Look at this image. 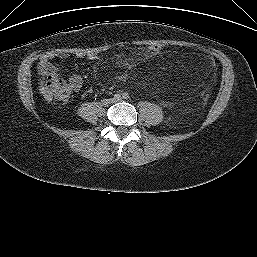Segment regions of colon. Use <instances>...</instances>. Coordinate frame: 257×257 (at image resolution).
<instances>
[{"instance_id": "1", "label": "colon", "mask_w": 257, "mask_h": 257, "mask_svg": "<svg viewBox=\"0 0 257 257\" xmlns=\"http://www.w3.org/2000/svg\"><path fill=\"white\" fill-rule=\"evenodd\" d=\"M162 49L163 46L160 44H152L148 46V50L152 53H158ZM45 92L51 98L61 102H66L70 98L72 90L61 76L51 74L47 78Z\"/></svg>"}]
</instances>
